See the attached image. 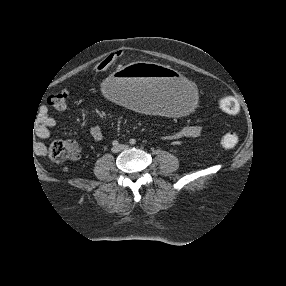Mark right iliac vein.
<instances>
[{"mask_svg": "<svg viewBox=\"0 0 286 286\" xmlns=\"http://www.w3.org/2000/svg\"><path fill=\"white\" fill-rule=\"evenodd\" d=\"M112 151H113L114 153H118V152L120 151V149H119V147L114 146V147L112 148Z\"/></svg>", "mask_w": 286, "mask_h": 286, "instance_id": "1", "label": "right iliac vein"}]
</instances>
